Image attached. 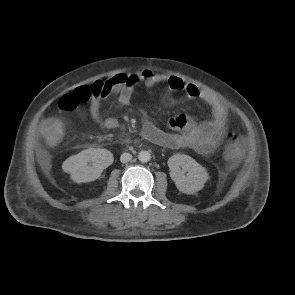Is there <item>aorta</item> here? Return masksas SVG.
Returning a JSON list of instances; mask_svg holds the SVG:
<instances>
[{
    "instance_id": "762f6f07",
    "label": "aorta",
    "mask_w": 295,
    "mask_h": 295,
    "mask_svg": "<svg viewBox=\"0 0 295 295\" xmlns=\"http://www.w3.org/2000/svg\"><path fill=\"white\" fill-rule=\"evenodd\" d=\"M138 159L143 163L148 162L151 159V154L148 151H140L138 154Z\"/></svg>"
}]
</instances>
